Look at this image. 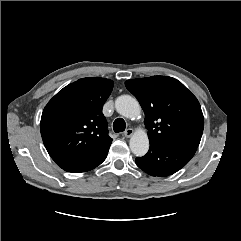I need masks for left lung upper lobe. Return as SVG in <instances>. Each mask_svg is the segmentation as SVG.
I'll use <instances>...</instances> for the list:
<instances>
[{
    "label": "left lung upper lobe",
    "instance_id": "1",
    "mask_svg": "<svg viewBox=\"0 0 241 241\" xmlns=\"http://www.w3.org/2000/svg\"><path fill=\"white\" fill-rule=\"evenodd\" d=\"M125 86L143 108L149 140L198 147L203 113L197 98L181 82L152 76L127 80Z\"/></svg>",
    "mask_w": 241,
    "mask_h": 241
}]
</instances>
